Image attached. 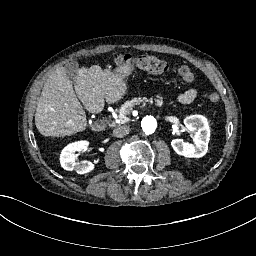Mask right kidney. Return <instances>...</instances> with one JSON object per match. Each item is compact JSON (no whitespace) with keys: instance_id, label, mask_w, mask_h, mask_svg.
Returning a JSON list of instances; mask_svg holds the SVG:
<instances>
[{"instance_id":"1","label":"right kidney","mask_w":256,"mask_h":256,"mask_svg":"<svg viewBox=\"0 0 256 256\" xmlns=\"http://www.w3.org/2000/svg\"><path fill=\"white\" fill-rule=\"evenodd\" d=\"M90 146L87 140L76 141L68 144L60 154V164L67 171H75L77 174H87L95 169L92 162H84L83 164H75L77 157L76 152H85Z\"/></svg>"}]
</instances>
